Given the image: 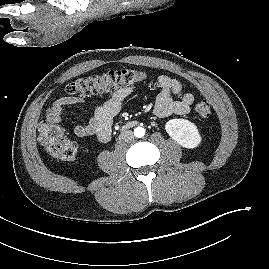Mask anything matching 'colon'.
<instances>
[{"mask_svg":"<svg viewBox=\"0 0 269 269\" xmlns=\"http://www.w3.org/2000/svg\"><path fill=\"white\" fill-rule=\"evenodd\" d=\"M146 73L137 69L113 70L99 75L80 77L69 83L65 92L73 97H86L103 93L112 88L129 86L146 79ZM195 113L201 119H207L211 114V106L207 101H201L195 106ZM38 140L45 150L60 160H72L77 153V145L68 139L59 124L46 119L38 127Z\"/></svg>","mask_w":269,"mask_h":269,"instance_id":"1","label":"colon"}]
</instances>
